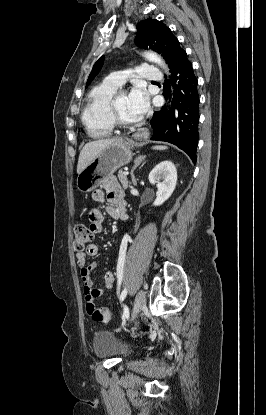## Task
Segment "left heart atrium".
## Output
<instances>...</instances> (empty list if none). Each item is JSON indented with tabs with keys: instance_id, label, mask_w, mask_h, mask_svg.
Returning a JSON list of instances; mask_svg holds the SVG:
<instances>
[{
	"instance_id": "39dd6f15",
	"label": "left heart atrium",
	"mask_w": 266,
	"mask_h": 415,
	"mask_svg": "<svg viewBox=\"0 0 266 415\" xmlns=\"http://www.w3.org/2000/svg\"><path fill=\"white\" fill-rule=\"evenodd\" d=\"M130 107L135 114L143 116L149 107L148 99L142 87H135L128 95Z\"/></svg>"
}]
</instances>
